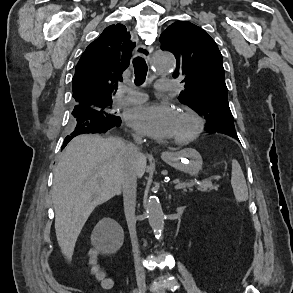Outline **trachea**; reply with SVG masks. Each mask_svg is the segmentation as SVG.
I'll return each mask as SVG.
<instances>
[{
    "mask_svg": "<svg viewBox=\"0 0 293 293\" xmlns=\"http://www.w3.org/2000/svg\"><path fill=\"white\" fill-rule=\"evenodd\" d=\"M135 84L137 86L142 85L145 82L147 75V64L142 57H136L133 59Z\"/></svg>",
    "mask_w": 293,
    "mask_h": 293,
    "instance_id": "1",
    "label": "trachea"
}]
</instances>
